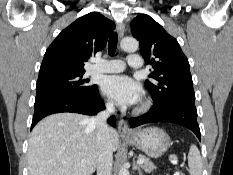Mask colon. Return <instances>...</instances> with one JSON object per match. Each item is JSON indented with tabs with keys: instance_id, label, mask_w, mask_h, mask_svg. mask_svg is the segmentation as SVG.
<instances>
[{
	"instance_id": "colon-1",
	"label": "colon",
	"mask_w": 233,
	"mask_h": 175,
	"mask_svg": "<svg viewBox=\"0 0 233 175\" xmlns=\"http://www.w3.org/2000/svg\"><path fill=\"white\" fill-rule=\"evenodd\" d=\"M173 163L177 164V159L176 158L173 159ZM174 175H185V173L180 171V170H177Z\"/></svg>"
}]
</instances>
